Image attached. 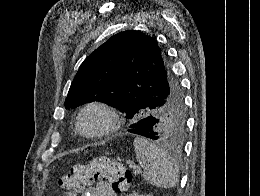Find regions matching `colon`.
<instances>
[{
  "label": "colon",
  "mask_w": 260,
  "mask_h": 196,
  "mask_svg": "<svg viewBox=\"0 0 260 196\" xmlns=\"http://www.w3.org/2000/svg\"><path fill=\"white\" fill-rule=\"evenodd\" d=\"M131 176L124 162L110 159H95L88 164H80L59 178V185L65 188L67 196H76L88 185L95 182H109L117 191H126Z\"/></svg>",
  "instance_id": "1"
}]
</instances>
